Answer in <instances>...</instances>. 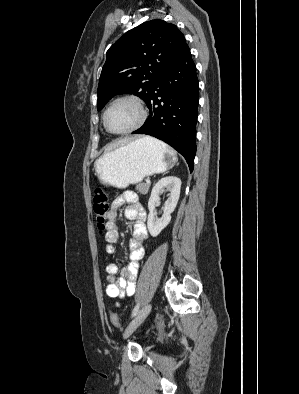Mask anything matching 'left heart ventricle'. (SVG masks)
<instances>
[{
  "label": "left heart ventricle",
  "mask_w": 299,
  "mask_h": 394,
  "mask_svg": "<svg viewBox=\"0 0 299 394\" xmlns=\"http://www.w3.org/2000/svg\"><path fill=\"white\" fill-rule=\"evenodd\" d=\"M139 117L137 107L127 101L116 103L107 114V125L115 132L124 131L133 126Z\"/></svg>",
  "instance_id": "obj_1"
}]
</instances>
